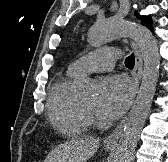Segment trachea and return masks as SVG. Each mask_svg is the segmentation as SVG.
<instances>
[{
  "label": "trachea",
  "mask_w": 168,
  "mask_h": 162,
  "mask_svg": "<svg viewBox=\"0 0 168 162\" xmlns=\"http://www.w3.org/2000/svg\"><path fill=\"white\" fill-rule=\"evenodd\" d=\"M134 64H135V57H134V54H132V55H130L129 57L126 58L125 65L128 68H133Z\"/></svg>",
  "instance_id": "trachea-1"
}]
</instances>
